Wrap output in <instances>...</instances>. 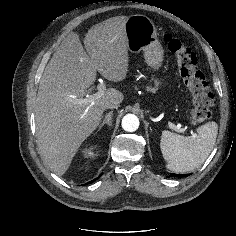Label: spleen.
I'll use <instances>...</instances> for the list:
<instances>
[{
  "instance_id": "obj_1",
  "label": "spleen",
  "mask_w": 236,
  "mask_h": 236,
  "mask_svg": "<svg viewBox=\"0 0 236 236\" xmlns=\"http://www.w3.org/2000/svg\"><path fill=\"white\" fill-rule=\"evenodd\" d=\"M197 136L184 137L163 131L160 148L166 167L174 172H189L200 167L211 153L218 134V125L211 121L197 128Z\"/></svg>"
}]
</instances>
